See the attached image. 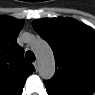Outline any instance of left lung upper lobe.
I'll return each instance as SVG.
<instances>
[{
	"instance_id": "obj_1",
	"label": "left lung upper lobe",
	"mask_w": 95,
	"mask_h": 95,
	"mask_svg": "<svg viewBox=\"0 0 95 95\" xmlns=\"http://www.w3.org/2000/svg\"><path fill=\"white\" fill-rule=\"evenodd\" d=\"M33 28L51 46L56 61L55 75L45 86L91 94L95 90V31L72 18L37 19Z\"/></svg>"
}]
</instances>
